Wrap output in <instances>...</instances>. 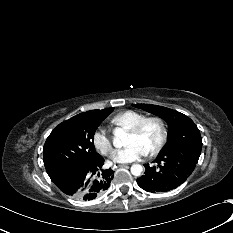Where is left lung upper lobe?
<instances>
[{
	"label": "left lung upper lobe",
	"instance_id": "left-lung-upper-lobe-1",
	"mask_svg": "<svg viewBox=\"0 0 233 233\" xmlns=\"http://www.w3.org/2000/svg\"><path fill=\"white\" fill-rule=\"evenodd\" d=\"M149 113L164 119L169 127V140L162 152H181L200 156L202 139L195 123L186 115L166 107L151 104H134Z\"/></svg>",
	"mask_w": 233,
	"mask_h": 233
}]
</instances>
